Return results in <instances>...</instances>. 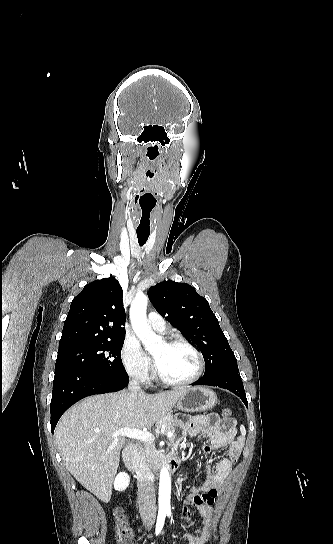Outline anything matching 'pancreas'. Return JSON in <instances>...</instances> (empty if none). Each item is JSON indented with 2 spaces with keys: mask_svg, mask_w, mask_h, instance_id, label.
Masks as SVG:
<instances>
[{
  "mask_svg": "<svg viewBox=\"0 0 333 544\" xmlns=\"http://www.w3.org/2000/svg\"><path fill=\"white\" fill-rule=\"evenodd\" d=\"M163 424L165 425L166 431H172L174 430V426L177 425V422L173 419L172 415H168L158 420L156 427L161 428ZM171 441L173 442V439ZM141 452L144 453V457L147 462H152L157 451L153 443L145 442L144 447L141 448Z\"/></svg>",
  "mask_w": 333,
  "mask_h": 544,
  "instance_id": "pancreas-1",
  "label": "pancreas"
}]
</instances>
